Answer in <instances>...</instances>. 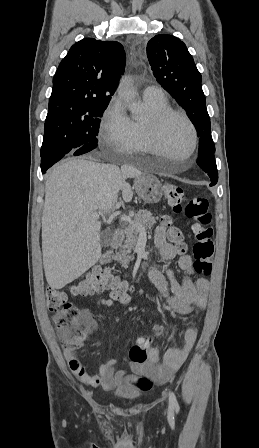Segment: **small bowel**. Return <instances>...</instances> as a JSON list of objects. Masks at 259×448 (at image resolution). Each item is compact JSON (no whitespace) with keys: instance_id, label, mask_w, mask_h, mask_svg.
I'll list each match as a JSON object with an SVG mask.
<instances>
[{"instance_id":"c3829d8e","label":"small bowel","mask_w":259,"mask_h":448,"mask_svg":"<svg viewBox=\"0 0 259 448\" xmlns=\"http://www.w3.org/2000/svg\"><path fill=\"white\" fill-rule=\"evenodd\" d=\"M154 245L165 261L174 260L181 252L177 245L170 243L166 238V227H157L154 235ZM178 264L184 272V276L177 278L174 272L167 269L165 272L155 267H150L149 278L157 290L166 300L168 306L181 315H191L207 306L209 294V281L200 277L193 265V257L190 252L179 256ZM131 296L128 293L110 294L109 298L102 299L101 304L107 307L115 304L128 305ZM165 326L156 324L153 332L156 336L164 333ZM197 339V330L188 327L184 333V343L180 348L168 349L162 363H159V351L157 348L148 350V358L144 363H130L131 372L117 369V361L109 359L98 367L96 374H90L78 360L75 351L65 350V358L70 370L84 384L100 386L104 390H111L118 386H125L135 390H149L152 383H165L173 376L187 359Z\"/></svg>"}]
</instances>
